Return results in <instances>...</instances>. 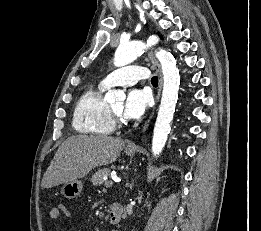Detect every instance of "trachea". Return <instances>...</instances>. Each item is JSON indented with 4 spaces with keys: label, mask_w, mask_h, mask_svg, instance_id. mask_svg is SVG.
I'll list each match as a JSON object with an SVG mask.
<instances>
[{
    "label": "trachea",
    "mask_w": 261,
    "mask_h": 231,
    "mask_svg": "<svg viewBox=\"0 0 261 231\" xmlns=\"http://www.w3.org/2000/svg\"><path fill=\"white\" fill-rule=\"evenodd\" d=\"M151 83H152L153 85H158V77H157V76L152 77Z\"/></svg>",
    "instance_id": "3493384b"
}]
</instances>
